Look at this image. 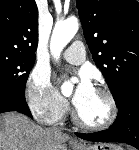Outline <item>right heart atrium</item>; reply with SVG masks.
Returning a JSON list of instances; mask_svg holds the SVG:
<instances>
[{"mask_svg": "<svg viewBox=\"0 0 139 150\" xmlns=\"http://www.w3.org/2000/svg\"><path fill=\"white\" fill-rule=\"evenodd\" d=\"M26 99L32 114L41 123H57L69 110L68 102L51 85L48 73L38 67L27 79Z\"/></svg>", "mask_w": 139, "mask_h": 150, "instance_id": "1", "label": "right heart atrium"}]
</instances>
